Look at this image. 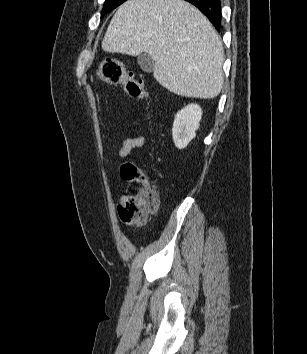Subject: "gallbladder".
<instances>
[{"label":"gallbladder","mask_w":307,"mask_h":354,"mask_svg":"<svg viewBox=\"0 0 307 354\" xmlns=\"http://www.w3.org/2000/svg\"><path fill=\"white\" fill-rule=\"evenodd\" d=\"M138 64L144 72H152L155 67L154 59L147 53L140 54L138 56Z\"/></svg>","instance_id":"obj_1"}]
</instances>
